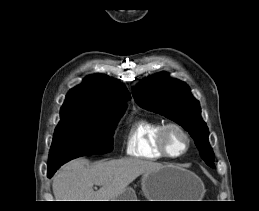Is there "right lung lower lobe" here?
<instances>
[{
    "instance_id": "98d812e1",
    "label": "right lung lower lobe",
    "mask_w": 259,
    "mask_h": 211,
    "mask_svg": "<svg viewBox=\"0 0 259 211\" xmlns=\"http://www.w3.org/2000/svg\"><path fill=\"white\" fill-rule=\"evenodd\" d=\"M57 169H58L57 167L48 169V177H51L52 174H53Z\"/></svg>"
}]
</instances>
